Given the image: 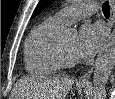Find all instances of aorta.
Listing matches in <instances>:
<instances>
[{"mask_svg":"<svg viewBox=\"0 0 115 99\" xmlns=\"http://www.w3.org/2000/svg\"><path fill=\"white\" fill-rule=\"evenodd\" d=\"M113 3L114 1L111 0ZM115 10V9H114ZM115 65V29L105 42L95 63L93 74L94 99H103L106 95V84Z\"/></svg>","mask_w":115,"mask_h":99,"instance_id":"aorta-1","label":"aorta"}]
</instances>
